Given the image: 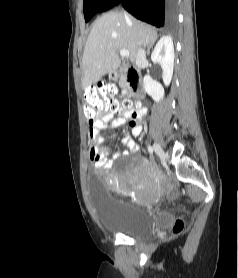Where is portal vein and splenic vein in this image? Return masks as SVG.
<instances>
[{"mask_svg":"<svg viewBox=\"0 0 238 278\" xmlns=\"http://www.w3.org/2000/svg\"><path fill=\"white\" fill-rule=\"evenodd\" d=\"M119 53L121 55V57H128L129 56V51L126 49H120Z\"/></svg>","mask_w":238,"mask_h":278,"instance_id":"obj_1","label":"portal vein and splenic vein"}]
</instances>
